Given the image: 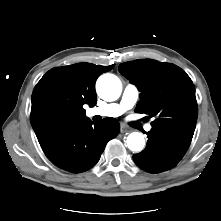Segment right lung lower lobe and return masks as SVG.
Segmentation results:
<instances>
[{
	"label": "right lung lower lobe",
	"instance_id": "obj_1",
	"mask_svg": "<svg viewBox=\"0 0 221 221\" xmlns=\"http://www.w3.org/2000/svg\"><path fill=\"white\" fill-rule=\"evenodd\" d=\"M119 131L120 125L114 118H105L94 126L87 119L67 124L39 143L47 158L57 167L81 173L98 162L107 142Z\"/></svg>",
	"mask_w": 221,
	"mask_h": 221
}]
</instances>
